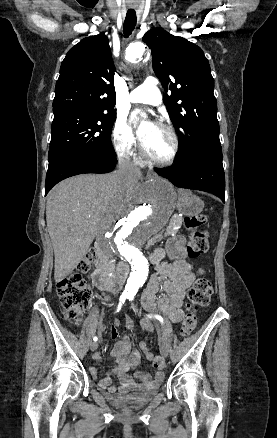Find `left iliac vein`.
Masks as SVG:
<instances>
[{"label":"left iliac vein","instance_id":"4c4485c4","mask_svg":"<svg viewBox=\"0 0 277 438\" xmlns=\"http://www.w3.org/2000/svg\"><path fill=\"white\" fill-rule=\"evenodd\" d=\"M160 352H161L162 356H164V357L168 356L169 350H168V346L165 342L161 343Z\"/></svg>","mask_w":277,"mask_h":438}]
</instances>
